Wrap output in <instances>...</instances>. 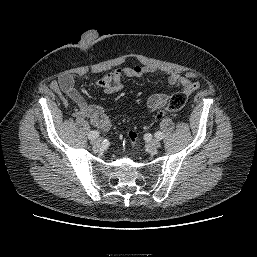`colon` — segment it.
<instances>
[{
  "instance_id": "obj_1",
  "label": "colon",
  "mask_w": 257,
  "mask_h": 257,
  "mask_svg": "<svg viewBox=\"0 0 257 257\" xmlns=\"http://www.w3.org/2000/svg\"><path fill=\"white\" fill-rule=\"evenodd\" d=\"M188 96L185 92H177L169 97L166 106L158 113V118L162 117L166 112H174L181 110L187 102ZM128 140L131 145L136 142V134L133 132L128 133Z\"/></svg>"
}]
</instances>
